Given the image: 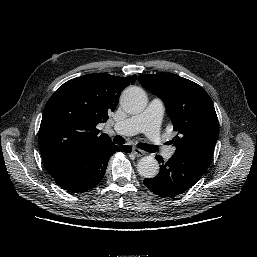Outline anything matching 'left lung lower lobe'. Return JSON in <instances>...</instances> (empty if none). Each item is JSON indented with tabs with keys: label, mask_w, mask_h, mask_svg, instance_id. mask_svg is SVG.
Instances as JSON below:
<instances>
[{
	"label": "left lung lower lobe",
	"mask_w": 257,
	"mask_h": 257,
	"mask_svg": "<svg viewBox=\"0 0 257 257\" xmlns=\"http://www.w3.org/2000/svg\"><path fill=\"white\" fill-rule=\"evenodd\" d=\"M160 166L158 175L151 179H144V184L161 197H174L191 188L205 173L207 166L192 157L175 152L164 162L162 157L156 156Z\"/></svg>",
	"instance_id": "0a47b994"
}]
</instances>
